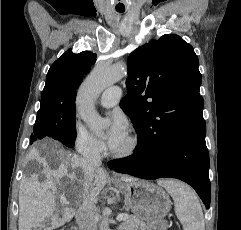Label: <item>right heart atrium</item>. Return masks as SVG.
<instances>
[{
	"mask_svg": "<svg viewBox=\"0 0 241 230\" xmlns=\"http://www.w3.org/2000/svg\"><path fill=\"white\" fill-rule=\"evenodd\" d=\"M73 143L77 152L87 157L99 156L104 150V144L80 124H76Z\"/></svg>",
	"mask_w": 241,
	"mask_h": 230,
	"instance_id": "obj_1",
	"label": "right heart atrium"
}]
</instances>
